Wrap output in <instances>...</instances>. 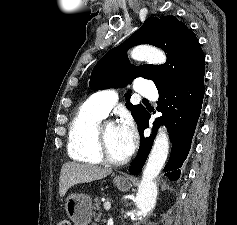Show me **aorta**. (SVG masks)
Masks as SVG:
<instances>
[{
    "label": "aorta",
    "mask_w": 237,
    "mask_h": 225,
    "mask_svg": "<svg viewBox=\"0 0 237 225\" xmlns=\"http://www.w3.org/2000/svg\"><path fill=\"white\" fill-rule=\"evenodd\" d=\"M131 57L137 61L150 64H162L166 61L165 54L150 46H137L131 52ZM169 152V138L166 130L161 127L155 138L152 150L143 171L138 193L135 199L138 212L136 216L146 214L154 205L157 196V186L154 179L165 165Z\"/></svg>",
    "instance_id": "aorta-1"
}]
</instances>
